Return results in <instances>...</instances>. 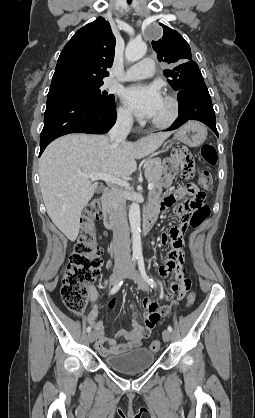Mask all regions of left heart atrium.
<instances>
[{
	"instance_id": "obj_1",
	"label": "left heart atrium",
	"mask_w": 255,
	"mask_h": 418,
	"mask_svg": "<svg viewBox=\"0 0 255 418\" xmlns=\"http://www.w3.org/2000/svg\"><path fill=\"white\" fill-rule=\"evenodd\" d=\"M123 99L137 116L152 118L163 97L156 85L136 84L124 90Z\"/></svg>"
}]
</instances>
